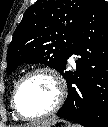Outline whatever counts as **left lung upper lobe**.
<instances>
[{"instance_id": "5c2ea615", "label": "left lung upper lobe", "mask_w": 108, "mask_h": 127, "mask_svg": "<svg viewBox=\"0 0 108 127\" xmlns=\"http://www.w3.org/2000/svg\"><path fill=\"white\" fill-rule=\"evenodd\" d=\"M88 0H38L17 26L8 48L6 71L24 62L46 64L65 77L74 34Z\"/></svg>"}]
</instances>
